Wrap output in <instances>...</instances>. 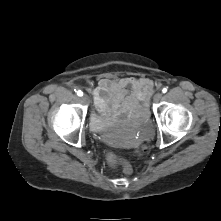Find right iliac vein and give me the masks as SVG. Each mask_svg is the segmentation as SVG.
Listing matches in <instances>:
<instances>
[{
  "label": "right iliac vein",
  "mask_w": 221,
  "mask_h": 221,
  "mask_svg": "<svg viewBox=\"0 0 221 221\" xmlns=\"http://www.w3.org/2000/svg\"><path fill=\"white\" fill-rule=\"evenodd\" d=\"M81 99H82V101H83L85 104L89 103V97H88V95H86V94L83 95Z\"/></svg>",
  "instance_id": "right-iliac-vein-1"
}]
</instances>
